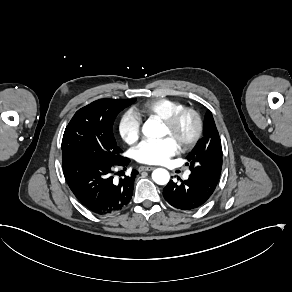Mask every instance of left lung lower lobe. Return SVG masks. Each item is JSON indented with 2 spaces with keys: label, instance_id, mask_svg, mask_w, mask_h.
I'll list each match as a JSON object with an SVG mask.
<instances>
[{
  "label": "left lung lower lobe",
  "instance_id": "obj_1",
  "mask_svg": "<svg viewBox=\"0 0 292 292\" xmlns=\"http://www.w3.org/2000/svg\"><path fill=\"white\" fill-rule=\"evenodd\" d=\"M181 183L170 180L163 189L165 200L180 210H194L202 206L213 194L218 182L189 175Z\"/></svg>",
  "mask_w": 292,
  "mask_h": 292
}]
</instances>
